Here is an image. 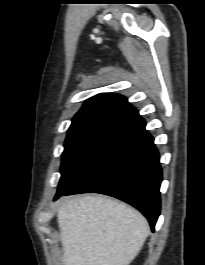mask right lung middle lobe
<instances>
[{"instance_id":"1","label":"right lung middle lobe","mask_w":205,"mask_h":265,"mask_svg":"<svg viewBox=\"0 0 205 265\" xmlns=\"http://www.w3.org/2000/svg\"><path fill=\"white\" fill-rule=\"evenodd\" d=\"M125 129L121 125H97L68 133L57 192L69 187Z\"/></svg>"}]
</instances>
